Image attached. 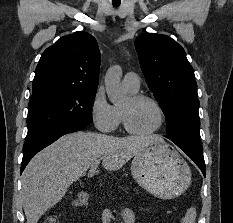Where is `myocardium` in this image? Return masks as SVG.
<instances>
[{"instance_id": "1", "label": "myocardium", "mask_w": 233, "mask_h": 223, "mask_svg": "<svg viewBox=\"0 0 233 223\" xmlns=\"http://www.w3.org/2000/svg\"><path fill=\"white\" fill-rule=\"evenodd\" d=\"M128 100L132 103H136L140 101H150L156 106L159 112V115H160V123L157 128H155L154 130L150 132H137L131 127L126 111L121 109V120H122L124 129L126 130L128 134L135 136V137H149L163 130L166 124V113H165L163 106L157 99H155L154 97L150 95H146V94H133L128 98Z\"/></svg>"}]
</instances>
